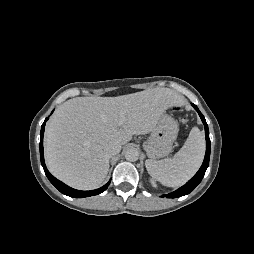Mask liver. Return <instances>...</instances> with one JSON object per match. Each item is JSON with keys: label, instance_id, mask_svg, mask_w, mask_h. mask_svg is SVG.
<instances>
[{"label": "liver", "instance_id": "1", "mask_svg": "<svg viewBox=\"0 0 254 254\" xmlns=\"http://www.w3.org/2000/svg\"><path fill=\"white\" fill-rule=\"evenodd\" d=\"M181 102L177 92L159 87L117 97L69 99L56 109L46 127L47 167L73 188L95 189L109 170L107 147L125 145L133 135L152 132L160 116ZM121 112L125 121L119 125Z\"/></svg>", "mask_w": 254, "mask_h": 254}]
</instances>
